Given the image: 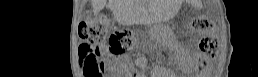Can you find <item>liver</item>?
Segmentation results:
<instances>
[{
	"label": "liver",
	"mask_w": 258,
	"mask_h": 77,
	"mask_svg": "<svg viewBox=\"0 0 258 77\" xmlns=\"http://www.w3.org/2000/svg\"><path fill=\"white\" fill-rule=\"evenodd\" d=\"M106 2V0H92L93 13L98 14L105 7ZM109 6L120 23L131 24L134 22L136 9L132 1L109 0Z\"/></svg>",
	"instance_id": "obj_1"
}]
</instances>
